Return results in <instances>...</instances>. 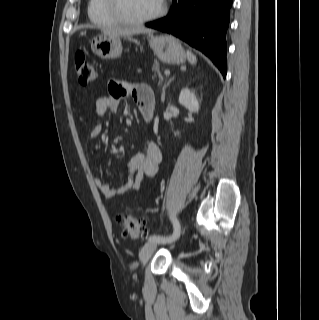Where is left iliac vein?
<instances>
[{
  "mask_svg": "<svg viewBox=\"0 0 319 320\" xmlns=\"http://www.w3.org/2000/svg\"><path fill=\"white\" fill-rule=\"evenodd\" d=\"M157 243L158 242L148 241L141 248L139 256H140V260L143 265H145L147 263V261L150 259V257L152 256V254L156 250Z\"/></svg>",
  "mask_w": 319,
  "mask_h": 320,
  "instance_id": "4c4485c4",
  "label": "left iliac vein"
}]
</instances>
